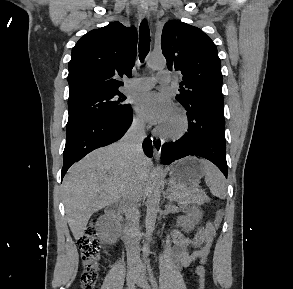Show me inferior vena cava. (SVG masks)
I'll list each match as a JSON object with an SVG mask.
<instances>
[{"mask_svg": "<svg viewBox=\"0 0 293 289\" xmlns=\"http://www.w3.org/2000/svg\"><path fill=\"white\" fill-rule=\"evenodd\" d=\"M145 138V125L142 121H135L122 139L126 152L134 157L136 166L141 162L143 155L142 142ZM142 195V184L138 176L132 177L125 188L122 204L126 209L127 220V257L128 261L139 262V212L137 202Z\"/></svg>", "mask_w": 293, "mask_h": 289, "instance_id": "obj_1", "label": "inferior vena cava"}]
</instances>
